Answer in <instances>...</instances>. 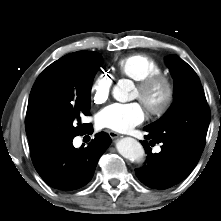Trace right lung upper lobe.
Wrapping results in <instances>:
<instances>
[{
  "label": "right lung upper lobe",
  "mask_w": 221,
  "mask_h": 221,
  "mask_svg": "<svg viewBox=\"0 0 221 221\" xmlns=\"http://www.w3.org/2000/svg\"><path fill=\"white\" fill-rule=\"evenodd\" d=\"M87 52L88 51H78V52H74V53L68 54V55L62 57L61 59L55 61L53 64L59 63V62H63V61L74 60V59L80 58L83 55H85Z\"/></svg>",
  "instance_id": "right-lung-upper-lobe-1"
}]
</instances>
